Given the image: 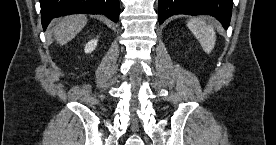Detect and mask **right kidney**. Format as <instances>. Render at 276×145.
<instances>
[{"mask_svg": "<svg viewBox=\"0 0 276 145\" xmlns=\"http://www.w3.org/2000/svg\"><path fill=\"white\" fill-rule=\"evenodd\" d=\"M98 40L97 39H93L90 40L86 45H85V53H91L93 50H95L96 46H97Z\"/></svg>", "mask_w": 276, "mask_h": 145, "instance_id": "ca27d5eb", "label": "right kidney"}]
</instances>
